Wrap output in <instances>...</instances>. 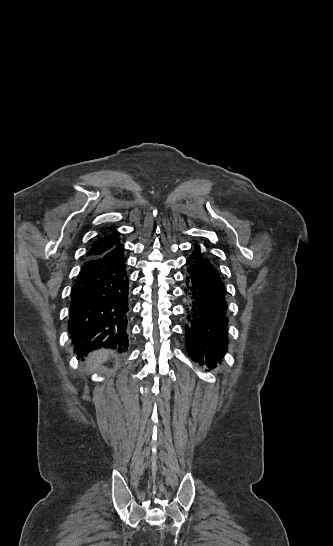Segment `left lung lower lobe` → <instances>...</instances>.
Instances as JSON below:
<instances>
[{"mask_svg": "<svg viewBox=\"0 0 333 546\" xmlns=\"http://www.w3.org/2000/svg\"><path fill=\"white\" fill-rule=\"evenodd\" d=\"M186 263L185 292L190 303L185 326L186 347L190 358L209 369L216 367L227 350V302L225 287L217 269L197 244Z\"/></svg>", "mask_w": 333, "mask_h": 546, "instance_id": "left-lung-lower-lobe-1", "label": "left lung lower lobe"}]
</instances>
